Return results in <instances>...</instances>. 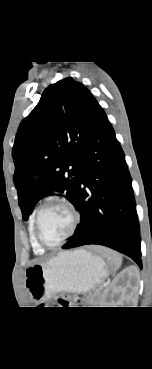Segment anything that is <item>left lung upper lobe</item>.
<instances>
[{"label": "left lung upper lobe", "instance_id": "left-lung-upper-lobe-1", "mask_svg": "<svg viewBox=\"0 0 152 369\" xmlns=\"http://www.w3.org/2000/svg\"><path fill=\"white\" fill-rule=\"evenodd\" d=\"M100 105L71 77L51 84L21 122L12 156L14 184L24 220L52 191L66 192L74 204L81 155Z\"/></svg>", "mask_w": 152, "mask_h": 369}]
</instances>
